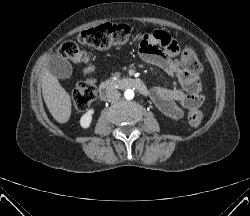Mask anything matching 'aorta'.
Instances as JSON below:
<instances>
[{
	"mask_svg": "<svg viewBox=\"0 0 250 216\" xmlns=\"http://www.w3.org/2000/svg\"><path fill=\"white\" fill-rule=\"evenodd\" d=\"M124 96L126 99L128 100H131L134 98V91L131 90V89H127L125 92H124Z\"/></svg>",
	"mask_w": 250,
	"mask_h": 216,
	"instance_id": "762f6f07",
	"label": "aorta"
}]
</instances>
